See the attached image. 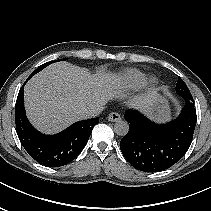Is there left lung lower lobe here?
I'll return each mask as SVG.
<instances>
[{"label": "left lung lower lobe", "instance_id": "0a47b994", "mask_svg": "<svg viewBox=\"0 0 211 211\" xmlns=\"http://www.w3.org/2000/svg\"><path fill=\"white\" fill-rule=\"evenodd\" d=\"M179 117L167 124L151 122L137 110H128L124 117L129 132L120 142V149L136 169L159 172L177 163L189 149L196 125L193 97L184 98Z\"/></svg>", "mask_w": 211, "mask_h": 211}]
</instances>
